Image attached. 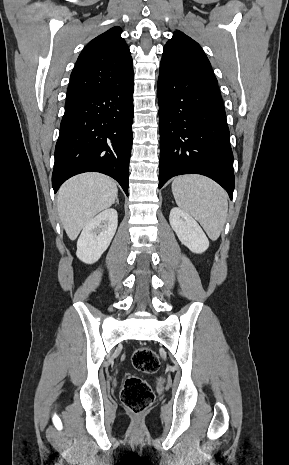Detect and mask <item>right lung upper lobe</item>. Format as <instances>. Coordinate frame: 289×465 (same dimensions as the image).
I'll return each mask as SVG.
<instances>
[{
	"label": "right lung upper lobe",
	"mask_w": 289,
	"mask_h": 465,
	"mask_svg": "<svg viewBox=\"0 0 289 465\" xmlns=\"http://www.w3.org/2000/svg\"><path fill=\"white\" fill-rule=\"evenodd\" d=\"M121 28L113 27L82 50L71 73L66 103L126 82L133 75V60Z\"/></svg>",
	"instance_id": "right-lung-upper-lobe-1"
}]
</instances>
